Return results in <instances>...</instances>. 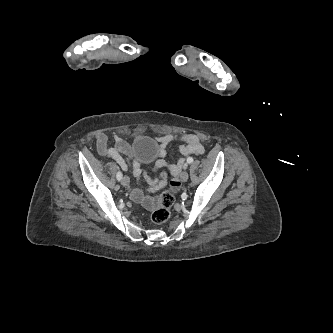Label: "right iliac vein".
Masks as SVG:
<instances>
[{"label": "right iliac vein", "instance_id": "1", "mask_svg": "<svg viewBox=\"0 0 333 333\" xmlns=\"http://www.w3.org/2000/svg\"><path fill=\"white\" fill-rule=\"evenodd\" d=\"M129 183H130V179H129L127 176H124V177L122 178V180H121V184H122L123 186H128Z\"/></svg>", "mask_w": 333, "mask_h": 333}]
</instances>
